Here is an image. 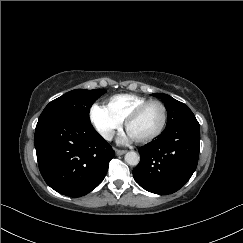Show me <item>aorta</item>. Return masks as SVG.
<instances>
[{
	"label": "aorta",
	"mask_w": 243,
	"mask_h": 243,
	"mask_svg": "<svg viewBox=\"0 0 243 243\" xmlns=\"http://www.w3.org/2000/svg\"><path fill=\"white\" fill-rule=\"evenodd\" d=\"M124 159L128 165L136 166L140 161V156L134 151H129L125 154Z\"/></svg>",
	"instance_id": "aorta-1"
}]
</instances>
